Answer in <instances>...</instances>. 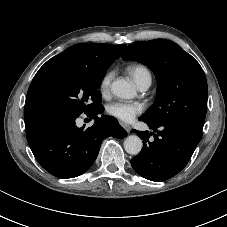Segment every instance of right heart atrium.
Wrapping results in <instances>:
<instances>
[{
    "label": "right heart atrium",
    "mask_w": 227,
    "mask_h": 227,
    "mask_svg": "<svg viewBox=\"0 0 227 227\" xmlns=\"http://www.w3.org/2000/svg\"><path fill=\"white\" fill-rule=\"evenodd\" d=\"M113 77H114L113 71H108L102 76L99 83V90L102 95H105L109 92Z\"/></svg>",
    "instance_id": "right-heart-atrium-1"
}]
</instances>
